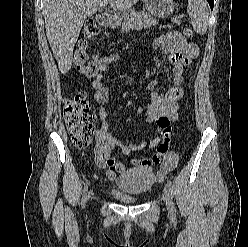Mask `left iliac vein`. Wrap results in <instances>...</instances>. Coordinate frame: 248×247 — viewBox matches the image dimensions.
Wrapping results in <instances>:
<instances>
[{
  "label": "left iliac vein",
  "mask_w": 248,
  "mask_h": 247,
  "mask_svg": "<svg viewBox=\"0 0 248 247\" xmlns=\"http://www.w3.org/2000/svg\"><path fill=\"white\" fill-rule=\"evenodd\" d=\"M163 198L167 206V210L169 213H172V200H171V188L168 183L165 184L163 190Z\"/></svg>",
  "instance_id": "left-iliac-vein-1"
}]
</instances>
